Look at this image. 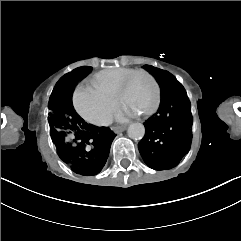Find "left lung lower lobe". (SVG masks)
<instances>
[{
  "instance_id": "left-lung-lower-lobe-1",
  "label": "left lung lower lobe",
  "mask_w": 241,
  "mask_h": 241,
  "mask_svg": "<svg viewBox=\"0 0 241 241\" xmlns=\"http://www.w3.org/2000/svg\"><path fill=\"white\" fill-rule=\"evenodd\" d=\"M189 110L190 103L182 86L161 94L160 107L144 123L146 134L138 144L147 166L155 170L172 168L188 152L192 140Z\"/></svg>"
}]
</instances>
